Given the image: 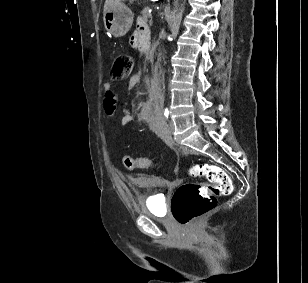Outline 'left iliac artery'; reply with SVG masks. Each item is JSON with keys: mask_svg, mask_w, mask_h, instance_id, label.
Here are the masks:
<instances>
[{"mask_svg": "<svg viewBox=\"0 0 308 283\" xmlns=\"http://www.w3.org/2000/svg\"><path fill=\"white\" fill-rule=\"evenodd\" d=\"M168 114H169V112H168L167 109H166L165 112H164V119H167V118H168Z\"/></svg>", "mask_w": 308, "mask_h": 283, "instance_id": "obj_1", "label": "left iliac artery"}]
</instances>
